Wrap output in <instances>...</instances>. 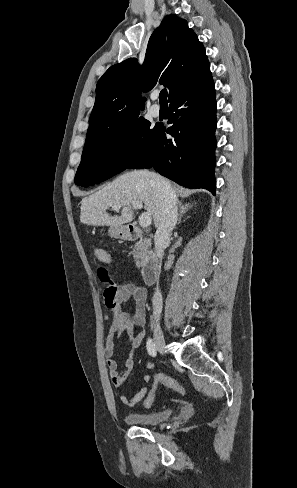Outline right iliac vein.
I'll return each mask as SVG.
<instances>
[{
	"label": "right iliac vein",
	"instance_id": "1",
	"mask_svg": "<svg viewBox=\"0 0 297 488\" xmlns=\"http://www.w3.org/2000/svg\"><path fill=\"white\" fill-rule=\"evenodd\" d=\"M154 341L158 351L164 353L166 351V343H165L162 329L158 322L154 323Z\"/></svg>",
	"mask_w": 297,
	"mask_h": 488
}]
</instances>
